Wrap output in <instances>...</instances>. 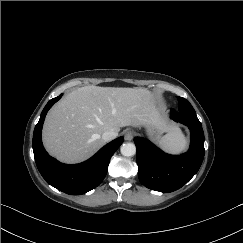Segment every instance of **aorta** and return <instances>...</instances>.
<instances>
[{"label":"aorta","instance_id":"1","mask_svg":"<svg viewBox=\"0 0 243 243\" xmlns=\"http://www.w3.org/2000/svg\"><path fill=\"white\" fill-rule=\"evenodd\" d=\"M121 154L125 157H131L136 154V146L134 143H124L120 148Z\"/></svg>","mask_w":243,"mask_h":243}]
</instances>
